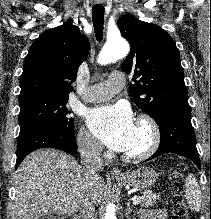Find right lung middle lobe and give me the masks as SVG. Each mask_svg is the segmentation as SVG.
Listing matches in <instances>:
<instances>
[{
  "label": "right lung middle lobe",
  "mask_w": 211,
  "mask_h": 219,
  "mask_svg": "<svg viewBox=\"0 0 211 219\" xmlns=\"http://www.w3.org/2000/svg\"><path fill=\"white\" fill-rule=\"evenodd\" d=\"M68 97H35L19 101L20 133L33 127L50 125L73 131V119L66 107Z\"/></svg>",
  "instance_id": "dd1d6c3e"
}]
</instances>
